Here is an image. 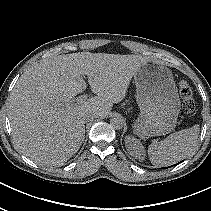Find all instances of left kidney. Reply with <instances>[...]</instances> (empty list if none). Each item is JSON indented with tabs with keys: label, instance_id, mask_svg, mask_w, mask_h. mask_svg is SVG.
<instances>
[{
	"label": "left kidney",
	"instance_id": "1",
	"mask_svg": "<svg viewBox=\"0 0 211 211\" xmlns=\"http://www.w3.org/2000/svg\"><path fill=\"white\" fill-rule=\"evenodd\" d=\"M125 143L127 151L131 156L141 161L145 159L144 147L142 146L140 141L131 138L130 136H127L125 138Z\"/></svg>",
	"mask_w": 211,
	"mask_h": 211
}]
</instances>
